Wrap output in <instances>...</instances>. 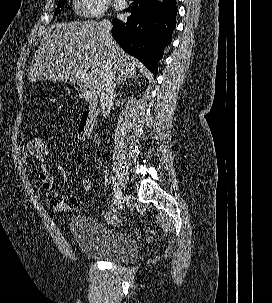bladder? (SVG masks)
Returning <instances> with one entry per match:
<instances>
[{"label": "bladder", "mask_w": 272, "mask_h": 303, "mask_svg": "<svg viewBox=\"0 0 272 303\" xmlns=\"http://www.w3.org/2000/svg\"><path fill=\"white\" fill-rule=\"evenodd\" d=\"M69 230L80 252L90 259L125 263L135 259L139 253V247L130 235L92 216H73Z\"/></svg>", "instance_id": "obj_1"}]
</instances>
